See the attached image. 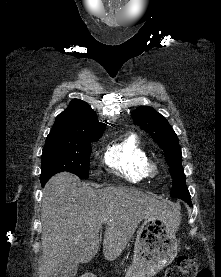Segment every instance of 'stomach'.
<instances>
[{
  "instance_id": "obj_1",
  "label": "stomach",
  "mask_w": 221,
  "mask_h": 277,
  "mask_svg": "<svg viewBox=\"0 0 221 277\" xmlns=\"http://www.w3.org/2000/svg\"><path fill=\"white\" fill-rule=\"evenodd\" d=\"M180 214L153 216L142 223L134 246V256L125 277H153L176 257Z\"/></svg>"
}]
</instances>
